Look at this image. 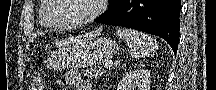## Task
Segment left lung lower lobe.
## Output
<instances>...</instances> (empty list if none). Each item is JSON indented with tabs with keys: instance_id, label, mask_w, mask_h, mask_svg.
<instances>
[{
	"instance_id": "left-lung-lower-lobe-1",
	"label": "left lung lower lobe",
	"mask_w": 216,
	"mask_h": 90,
	"mask_svg": "<svg viewBox=\"0 0 216 90\" xmlns=\"http://www.w3.org/2000/svg\"><path fill=\"white\" fill-rule=\"evenodd\" d=\"M180 0H119L95 22L124 26L165 39L174 53L179 44Z\"/></svg>"
}]
</instances>
